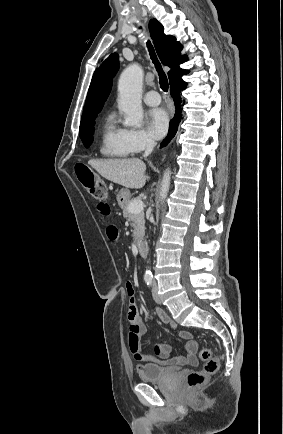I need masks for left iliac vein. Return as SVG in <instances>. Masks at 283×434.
Here are the masks:
<instances>
[{
  "mask_svg": "<svg viewBox=\"0 0 283 434\" xmlns=\"http://www.w3.org/2000/svg\"><path fill=\"white\" fill-rule=\"evenodd\" d=\"M152 295H153V299L155 300L156 303H161L160 297L158 295V285L156 283V281H154L153 283V289H152Z\"/></svg>",
  "mask_w": 283,
  "mask_h": 434,
  "instance_id": "1",
  "label": "left iliac vein"
}]
</instances>
